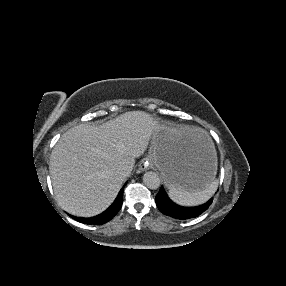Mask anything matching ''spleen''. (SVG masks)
Returning a JSON list of instances; mask_svg holds the SVG:
<instances>
[{"mask_svg":"<svg viewBox=\"0 0 286 286\" xmlns=\"http://www.w3.org/2000/svg\"><path fill=\"white\" fill-rule=\"evenodd\" d=\"M217 186V180L212 181L205 189L193 192L172 186L169 189V196L177 204L195 206L207 201L214 194Z\"/></svg>","mask_w":286,"mask_h":286,"instance_id":"obj_1","label":"spleen"}]
</instances>
